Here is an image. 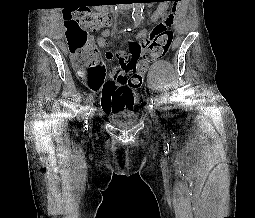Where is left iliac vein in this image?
<instances>
[{
	"mask_svg": "<svg viewBox=\"0 0 255 218\" xmlns=\"http://www.w3.org/2000/svg\"><path fill=\"white\" fill-rule=\"evenodd\" d=\"M148 110H149L150 115H151L152 117H154V116H155V110H154V108L151 107V106H148Z\"/></svg>",
	"mask_w": 255,
	"mask_h": 218,
	"instance_id": "left-iliac-vein-1",
	"label": "left iliac vein"
}]
</instances>
